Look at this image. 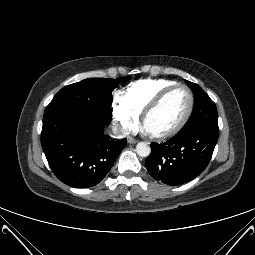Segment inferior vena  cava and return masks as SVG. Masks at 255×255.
<instances>
[{"mask_svg":"<svg viewBox=\"0 0 255 255\" xmlns=\"http://www.w3.org/2000/svg\"><path fill=\"white\" fill-rule=\"evenodd\" d=\"M112 133H113L114 137L119 138V139L123 138V137H126L127 134H128V132L126 130L119 129L115 126H113V128H112Z\"/></svg>","mask_w":255,"mask_h":255,"instance_id":"obj_1","label":"inferior vena cava"}]
</instances>
